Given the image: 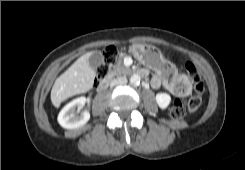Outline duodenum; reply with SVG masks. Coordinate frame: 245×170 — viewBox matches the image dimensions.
Returning a JSON list of instances; mask_svg holds the SVG:
<instances>
[{"label":"duodenum","instance_id":"410a0bca","mask_svg":"<svg viewBox=\"0 0 245 170\" xmlns=\"http://www.w3.org/2000/svg\"><path fill=\"white\" fill-rule=\"evenodd\" d=\"M139 74L140 75H143L144 74V72L143 71H140L139 72ZM109 79L107 78V79H104V80H102L99 84H98V86H97V91H103L108 85H109Z\"/></svg>","mask_w":245,"mask_h":170}]
</instances>
